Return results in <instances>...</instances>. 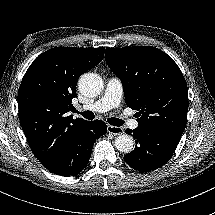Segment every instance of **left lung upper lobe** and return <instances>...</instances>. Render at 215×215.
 Here are the masks:
<instances>
[{"label": "left lung upper lobe", "mask_w": 215, "mask_h": 215, "mask_svg": "<svg viewBox=\"0 0 215 215\" xmlns=\"http://www.w3.org/2000/svg\"><path fill=\"white\" fill-rule=\"evenodd\" d=\"M105 59L122 81L126 105L138 111V127L184 131L187 84L170 56L151 46L107 47Z\"/></svg>", "instance_id": "obj_1"}]
</instances>
